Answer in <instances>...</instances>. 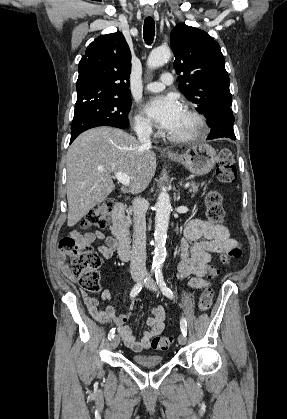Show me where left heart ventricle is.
Returning <instances> with one entry per match:
<instances>
[{"instance_id": "1", "label": "left heart ventricle", "mask_w": 287, "mask_h": 419, "mask_svg": "<svg viewBox=\"0 0 287 419\" xmlns=\"http://www.w3.org/2000/svg\"><path fill=\"white\" fill-rule=\"evenodd\" d=\"M195 127H196V124L193 121V119L185 111H183L178 123L170 131V133L175 134V135L187 134L191 132L192 130H194Z\"/></svg>"}]
</instances>
